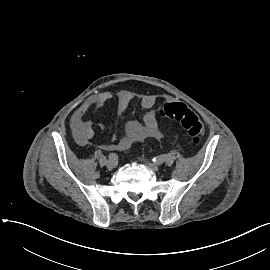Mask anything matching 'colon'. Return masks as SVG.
<instances>
[{
  "instance_id": "1",
  "label": "colon",
  "mask_w": 270,
  "mask_h": 270,
  "mask_svg": "<svg viewBox=\"0 0 270 270\" xmlns=\"http://www.w3.org/2000/svg\"><path fill=\"white\" fill-rule=\"evenodd\" d=\"M159 116L165 120L178 122L187 132L190 142L198 145L203 136V125L198 116L186 104L168 103L159 109Z\"/></svg>"
}]
</instances>
